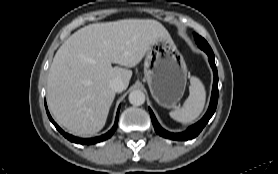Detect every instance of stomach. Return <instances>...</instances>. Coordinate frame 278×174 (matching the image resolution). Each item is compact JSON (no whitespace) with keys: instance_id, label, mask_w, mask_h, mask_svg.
Masks as SVG:
<instances>
[{"instance_id":"obj_1","label":"stomach","mask_w":278,"mask_h":174,"mask_svg":"<svg viewBox=\"0 0 278 174\" xmlns=\"http://www.w3.org/2000/svg\"><path fill=\"white\" fill-rule=\"evenodd\" d=\"M144 76L154 100L162 107L174 108L187 83V66L171 38H157L144 60Z\"/></svg>"}]
</instances>
